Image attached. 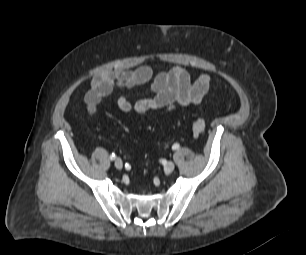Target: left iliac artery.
<instances>
[{
  "instance_id": "obj_1",
  "label": "left iliac artery",
  "mask_w": 306,
  "mask_h": 255,
  "mask_svg": "<svg viewBox=\"0 0 306 255\" xmlns=\"http://www.w3.org/2000/svg\"><path fill=\"white\" fill-rule=\"evenodd\" d=\"M180 145L178 143H175L173 146H172V149L173 150H177L179 149Z\"/></svg>"
}]
</instances>
